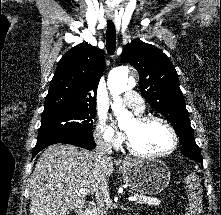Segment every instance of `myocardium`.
Wrapping results in <instances>:
<instances>
[{"label": "myocardium", "mask_w": 221, "mask_h": 215, "mask_svg": "<svg viewBox=\"0 0 221 215\" xmlns=\"http://www.w3.org/2000/svg\"><path fill=\"white\" fill-rule=\"evenodd\" d=\"M136 120L138 123L140 124H146L148 122L151 121H158L162 124L165 125V127L168 129V131L170 132V135L172 137V145L171 147L165 151V152H161V153H145L141 150H139L132 142L131 138L128 136V134H126V145L128 150L138 156V157H142V158H161V157H166L170 154H172L178 146V136L177 133L174 129V127L171 125V123L166 120L165 118L158 116V115H139L136 117Z\"/></svg>", "instance_id": "f54148a6"}]
</instances>
